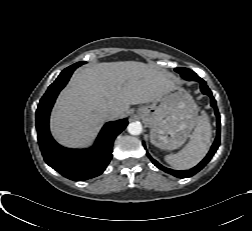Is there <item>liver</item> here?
Returning <instances> with one entry per match:
<instances>
[{"mask_svg": "<svg viewBox=\"0 0 252 231\" xmlns=\"http://www.w3.org/2000/svg\"><path fill=\"white\" fill-rule=\"evenodd\" d=\"M175 89L170 75L142 62H104L75 72L51 114L53 136L68 147L90 143L108 119L123 117L130 105L155 101ZM114 108L115 116L106 109Z\"/></svg>", "mask_w": 252, "mask_h": 231, "instance_id": "obj_1", "label": "liver"}]
</instances>
